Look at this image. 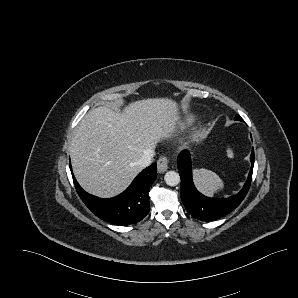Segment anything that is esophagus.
<instances>
[{
	"label": "esophagus",
	"mask_w": 298,
	"mask_h": 298,
	"mask_svg": "<svg viewBox=\"0 0 298 298\" xmlns=\"http://www.w3.org/2000/svg\"><path fill=\"white\" fill-rule=\"evenodd\" d=\"M169 168V161L166 157H160L157 161V169L159 173H164Z\"/></svg>",
	"instance_id": "esophagus-1"
}]
</instances>
